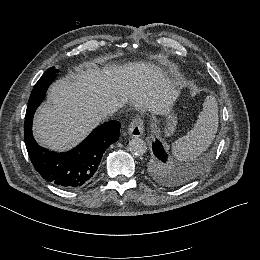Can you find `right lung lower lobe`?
<instances>
[{"label": "right lung lower lobe", "mask_w": 260, "mask_h": 260, "mask_svg": "<svg viewBox=\"0 0 260 260\" xmlns=\"http://www.w3.org/2000/svg\"><path fill=\"white\" fill-rule=\"evenodd\" d=\"M33 114L26 113L24 139L31 162L40 175L46 181L67 190L78 189L92 182L103 153L119 138L120 123L115 120L106 122L71 151L55 153L42 148L34 140Z\"/></svg>", "instance_id": "98d812e1"}]
</instances>
